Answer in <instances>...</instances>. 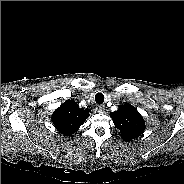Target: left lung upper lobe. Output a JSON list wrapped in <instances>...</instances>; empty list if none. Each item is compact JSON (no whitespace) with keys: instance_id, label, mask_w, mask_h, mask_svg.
<instances>
[{"instance_id":"5c2ea615","label":"left lung upper lobe","mask_w":184,"mask_h":184,"mask_svg":"<svg viewBox=\"0 0 184 184\" xmlns=\"http://www.w3.org/2000/svg\"><path fill=\"white\" fill-rule=\"evenodd\" d=\"M110 117L116 128L120 130V136L126 141L141 136L145 130L143 117L131 104L119 106L117 111L110 113Z\"/></svg>"}]
</instances>
